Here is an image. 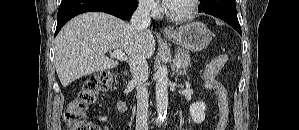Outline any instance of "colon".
Instances as JSON below:
<instances>
[{
    "instance_id": "5ec220e1",
    "label": "colon",
    "mask_w": 299,
    "mask_h": 130,
    "mask_svg": "<svg viewBox=\"0 0 299 130\" xmlns=\"http://www.w3.org/2000/svg\"><path fill=\"white\" fill-rule=\"evenodd\" d=\"M227 59V55L220 54L210 63L208 73L217 74L224 67ZM114 80L115 75L110 71H98L85 80L76 97L66 107L64 119L68 130H102L87 118V111L96 102L98 94L109 89ZM215 90L219 99V120L215 130H226L229 120L227 92L220 84H215Z\"/></svg>"
}]
</instances>
